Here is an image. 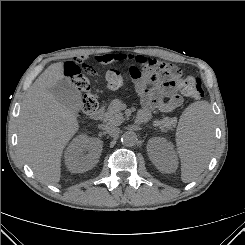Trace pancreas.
I'll return each mask as SVG.
<instances>
[{"label":"pancreas","mask_w":245,"mask_h":245,"mask_svg":"<svg viewBox=\"0 0 245 245\" xmlns=\"http://www.w3.org/2000/svg\"><path fill=\"white\" fill-rule=\"evenodd\" d=\"M120 107L121 101L118 99L113 100L107 111L103 114V122L107 125H120L123 121V115ZM176 123V118L165 117L161 120L154 121L153 125L158 126L160 129H172L176 126Z\"/></svg>","instance_id":"pancreas-1"}]
</instances>
